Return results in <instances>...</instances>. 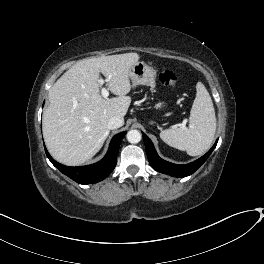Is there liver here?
<instances>
[{
  "label": "liver",
  "mask_w": 264,
  "mask_h": 264,
  "mask_svg": "<svg viewBox=\"0 0 264 264\" xmlns=\"http://www.w3.org/2000/svg\"><path fill=\"white\" fill-rule=\"evenodd\" d=\"M139 58L137 53H125L84 59L54 83L43 113V136L56 161L78 166L102 148L110 133L109 119H123L130 106L129 70ZM100 73L117 97L100 95Z\"/></svg>",
  "instance_id": "liver-1"
}]
</instances>
